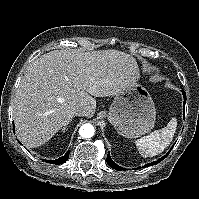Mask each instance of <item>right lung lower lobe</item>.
I'll return each mask as SVG.
<instances>
[{"label":"right lung lower lobe","instance_id":"1","mask_svg":"<svg viewBox=\"0 0 199 199\" xmlns=\"http://www.w3.org/2000/svg\"><path fill=\"white\" fill-rule=\"evenodd\" d=\"M68 157H69V151H67V153L64 156H62L56 160H46V162L52 163V164H62L68 159Z\"/></svg>","mask_w":199,"mask_h":199}]
</instances>
